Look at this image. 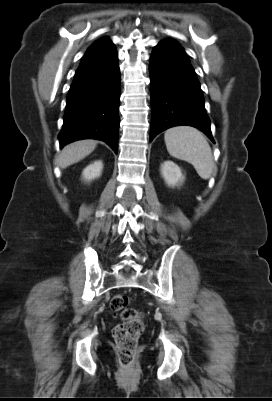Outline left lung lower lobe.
I'll list each match as a JSON object with an SVG mask.
<instances>
[{
    "mask_svg": "<svg viewBox=\"0 0 272 401\" xmlns=\"http://www.w3.org/2000/svg\"><path fill=\"white\" fill-rule=\"evenodd\" d=\"M149 72L152 105L150 141L170 127L188 125L198 128L214 142L200 83L180 44L165 39L155 46Z\"/></svg>",
    "mask_w": 272,
    "mask_h": 401,
    "instance_id": "1",
    "label": "left lung lower lobe"
}]
</instances>
